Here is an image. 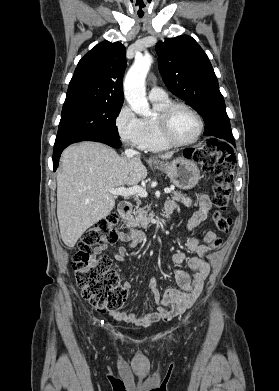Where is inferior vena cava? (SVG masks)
Returning <instances> with one entry per match:
<instances>
[{
	"mask_svg": "<svg viewBox=\"0 0 279 391\" xmlns=\"http://www.w3.org/2000/svg\"><path fill=\"white\" fill-rule=\"evenodd\" d=\"M138 152L133 150V149H126L125 150V155L128 157V158H132L134 157L135 155H137Z\"/></svg>",
	"mask_w": 279,
	"mask_h": 391,
	"instance_id": "inferior-vena-cava-1",
	"label": "inferior vena cava"
}]
</instances>
